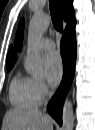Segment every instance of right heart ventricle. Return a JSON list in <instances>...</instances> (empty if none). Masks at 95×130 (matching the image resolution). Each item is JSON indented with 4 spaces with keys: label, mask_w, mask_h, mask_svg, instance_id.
Returning a JSON list of instances; mask_svg holds the SVG:
<instances>
[{
    "label": "right heart ventricle",
    "mask_w": 95,
    "mask_h": 130,
    "mask_svg": "<svg viewBox=\"0 0 95 130\" xmlns=\"http://www.w3.org/2000/svg\"><path fill=\"white\" fill-rule=\"evenodd\" d=\"M9 97L11 103L21 109L37 107L41 101L36 94L33 79L20 75L15 76L11 82Z\"/></svg>",
    "instance_id": "e07e8e85"
}]
</instances>
